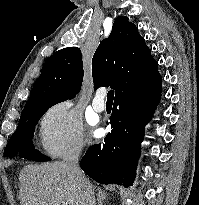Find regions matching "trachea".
Segmentation results:
<instances>
[{
  "instance_id": "trachea-1",
  "label": "trachea",
  "mask_w": 199,
  "mask_h": 205,
  "mask_svg": "<svg viewBox=\"0 0 199 205\" xmlns=\"http://www.w3.org/2000/svg\"><path fill=\"white\" fill-rule=\"evenodd\" d=\"M114 98V90H110L108 93H107V101H111L113 100Z\"/></svg>"
}]
</instances>
